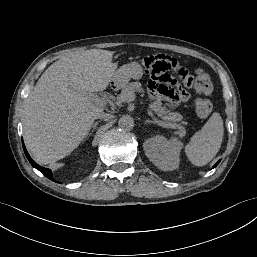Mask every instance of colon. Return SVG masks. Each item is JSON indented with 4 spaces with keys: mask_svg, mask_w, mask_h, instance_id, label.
I'll return each mask as SVG.
<instances>
[{
    "mask_svg": "<svg viewBox=\"0 0 257 257\" xmlns=\"http://www.w3.org/2000/svg\"><path fill=\"white\" fill-rule=\"evenodd\" d=\"M193 77V76H192ZM194 89L200 95L207 96L213 90L211 77L203 69H197L193 77ZM195 111L202 118L208 117L212 112V103L206 97L197 98L194 104Z\"/></svg>",
    "mask_w": 257,
    "mask_h": 257,
    "instance_id": "5ec220e1",
    "label": "colon"
}]
</instances>
